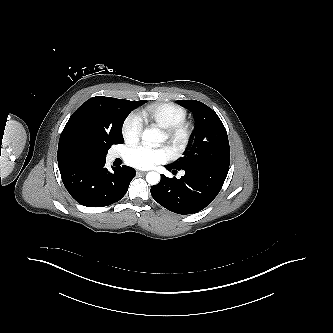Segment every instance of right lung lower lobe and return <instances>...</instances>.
I'll list each match as a JSON object with an SVG mask.
<instances>
[{"label": "right lung lower lobe", "mask_w": 333, "mask_h": 333, "mask_svg": "<svg viewBox=\"0 0 333 333\" xmlns=\"http://www.w3.org/2000/svg\"><path fill=\"white\" fill-rule=\"evenodd\" d=\"M106 159L78 155L60 167L62 181L70 195L87 207H104L124 197L135 170L123 165L105 168Z\"/></svg>", "instance_id": "98d812e1"}]
</instances>
